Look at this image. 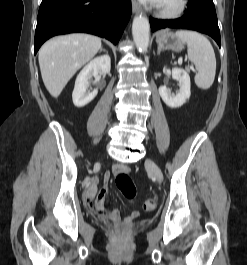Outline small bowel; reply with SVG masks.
<instances>
[{"label":"small bowel","mask_w":247,"mask_h":265,"mask_svg":"<svg viewBox=\"0 0 247 265\" xmlns=\"http://www.w3.org/2000/svg\"><path fill=\"white\" fill-rule=\"evenodd\" d=\"M129 169L122 165H115L112 169L113 173L127 172ZM111 172H106L103 176V185L98 188L97 183H92L85 194V202L90 210L95 212L103 219L117 221L120 218V213L117 209L108 210L104 207V198L107 193V184L110 180ZM139 216L138 211H133L130 218Z\"/></svg>","instance_id":"small-bowel-1"}]
</instances>
